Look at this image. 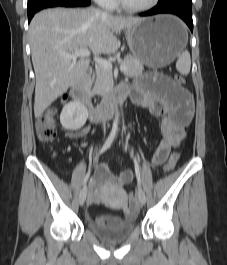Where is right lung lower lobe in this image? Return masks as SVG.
Here are the masks:
<instances>
[{"mask_svg":"<svg viewBox=\"0 0 227 265\" xmlns=\"http://www.w3.org/2000/svg\"><path fill=\"white\" fill-rule=\"evenodd\" d=\"M90 5V0H40L37 4L27 7L28 11V21L32 19L34 14L44 8L50 7H78V6H88Z\"/></svg>","mask_w":227,"mask_h":265,"instance_id":"right-lung-lower-lobe-1","label":"right lung lower lobe"}]
</instances>
